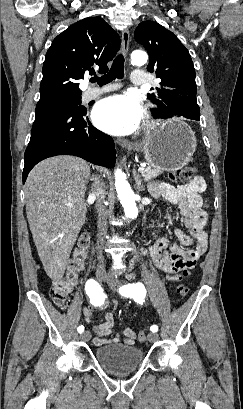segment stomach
<instances>
[{
	"label": "stomach",
	"mask_w": 243,
	"mask_h": 409,
	"mask_svg": "<svg viewBox=\"0 0 243 409\" xmlns=\"http://www.w3.org/2000/svg\"><path fill=\"white\" fill-rule=\"evenodd\" d=\"M195 149L194 132L187 123L177 118L148 132L135 146V150L144 154L148 164L161 171L181 169L192 159Z\"/></svg>",
	"instance_id": "1"
}]
</instances>
